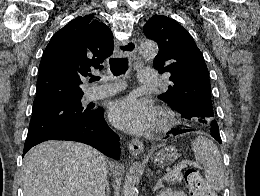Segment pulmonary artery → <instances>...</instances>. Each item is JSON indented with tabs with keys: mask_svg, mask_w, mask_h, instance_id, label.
Instances as JSON below:
<instances>
[{
	"mask_svg": "<svg viewBox=\"0 0 260 196\" xmlns=\"http://www.w3.org/2000/svg\"><path fill=\"white\" fill-rule=\"evenodd\" d=\"M139 84H154L156 72L154 69H140ZM120 82L113 81L112 85L107 86H92L86 90V99L88 101L99 100L108 96L113 95L120 90Z\"/></svg>",
	"mask_w": 260,
	"mask_h": 196,
	"instance_id": "e3ab8cb5",
	"label": "pulmonary artery"
}]
</instances>
